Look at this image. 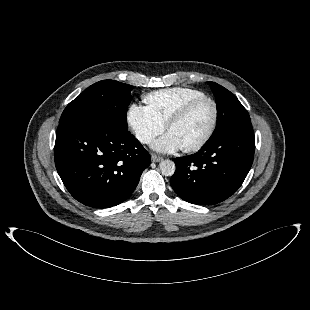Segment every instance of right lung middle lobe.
<instances>
[{
	"label": "right lung middle lobe",
	"mask_w": 310,
	"mask_h": 310,
	"mask_svg": "<svg viewBox=\"0 0 310 310\" xmlns=\"http://www.w3.org/2000/svg\"><path fill=\"white\" fill-rule=\"evenodd\" d=\"M132 89V86L115 80L99 81L66 106L59 125L80 121L118 132L127 131L126 113Z\"/></svg>",
	"instance_id": "dd1d6c3e"
}]
</instances>
